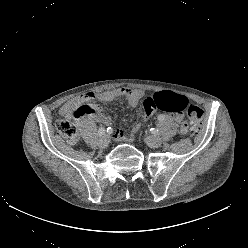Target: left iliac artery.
Segmentation results:
<instances>
[{
	"instance_id": "44dca946",
	"label": "left iliac artery",
	"mask_w": 248,
	"mask_h": 248,
	"mask_svg": "<svg viewBox=\"0 0 248 248\" xmlns=\"http://www.w3.org/2000/svg\"><path fill=\"white\" fill-rule=\"evenodd\" d=\"M151 130H153V133H157L158 132V130H156V129H151Z\"/></svg>"
}]
</instances>
